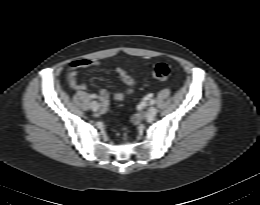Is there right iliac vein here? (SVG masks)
Returning <instances> with one entry per match:
<instances>
[{
    "instance_id": "1",
    "label": "right iliac vein",
    "mask_w": 260,
    "mask_h": 205,
    "mask_svg": "<svg viewBox=\"0 0 260 205\" xmlns=\"http://www.w3.org/2000/svg\"><path fill=\"white\" fill-rule=\"evenodd\" d=\"M90 108L92 109V111L96 112L99 110L100 105L96 101H92L90 103Z\"/></svg>"
}]
</instances>
